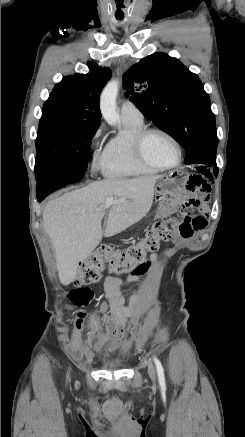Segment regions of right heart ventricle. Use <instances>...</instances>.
<instances>
[{"label": "right heart ventricle", "mask_w": 245, "mask_h": 437, "mask_svg": "<svg viewBox=\"0 0 245 437\" xmlns=\"http://www.w3.org/2000/svg\"><path fill=\"white\" fill-rule=\"evenodd\" d=\"M144 128L143 120L122 118L121 131L109 140L101 156L99 167L106 177L130 178L159 171L142 163L134 152V138Z\"/></svg>", "instance_id": "e07e8e85"}]
</instances>
